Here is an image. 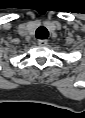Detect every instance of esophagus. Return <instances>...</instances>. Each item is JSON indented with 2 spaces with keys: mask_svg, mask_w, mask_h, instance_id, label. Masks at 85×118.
Returning a JSON list of instances; mask_svg holds the SVG:
<instances>
[{
  "mask_svg": "<svg viewBox=\"0 0 85 118\" xmlns=\"http://www.w3.org/2000/svg\"><path fill=\"white\" fill-rule=\"evenodd\" d=\"M47 43H48L47 40H39V41H38V44H39L40 46H45V45H47Z\"/></svg>",
  "mask_w": 85,
  "mask_h": 118,
  "instance_id": "34e87169",
  "label": "esophagus"
}]
</instances>
